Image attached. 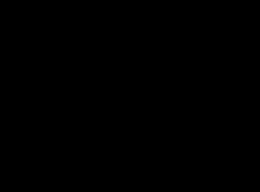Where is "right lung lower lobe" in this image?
<instances>
[{
	"mask_svg": "<svg viewBox=\"0 0 260 192\" xmlns=\"http://www.w3.org/2000/svg\"><path fill=\"white\" fill-rule=\"evenodd\" d=\"M70 86H72V87H70L72 90V93H70V91H62V93L65 98H69L68 99L69 102H71V100L74 99V104H73L74 106L72 107V109L74 110L73 115L74 116L76 115L77 119H80V113H83V116L87 117L88 112H89L88 110L85 109L87 107V103L82 102L83 100L79 99V97L83 98V95H81L82 93L79 90H77L75 88V86H73V85H70ZM78 86H80V85H78ZM89 90H90V88H88V87L86 89H84V91L86 93H88ZM94 93H97V92H93V94ZM70 96H72V97H70ZM99 102H100L99 104L104 103L107 105V96H104V94H102L100 96ZM81 105H84V106H81ZM38 114L41 115L40 113H38ZM52 128H53V123L46 124L44 133H47L46 135H48V133L52 130ZM99 133H101V132H99ZM48 143L51 146V148L54 149L55 151H57L58 153H61V151L63 149H67L68 151L75 149L73 147L64 146V144H63L64 142L61 140L54 139V140H50Z\"/></svg>",
	"mask_w": 260,
	"mask_h": 192,
	"instance_id": "1",
	"label": "right lung lower lobe"
}]
</instances>
